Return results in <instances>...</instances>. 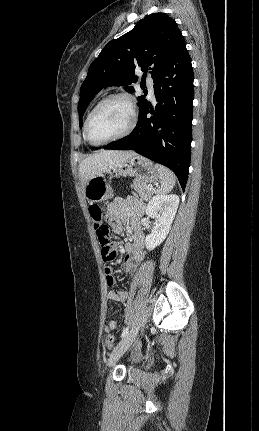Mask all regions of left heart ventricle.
<instances>
[{
  "label": "left heart ventricle",
  "mask_w": 259,
  "mask_h": 431,
  "mask_svg": "<svg viewBox=\"0 0 259 431\" xmlns=\"http://www.w3.org/2000/svg\"><path fill=\"white\" fill-rule=\"evenodd\" d=\"M131 119L125 101L111 100L102 105L94 114L90 124V135L95 141H104L123 132Z\"/></svg>",
  "instance_id": "b2bd125f"
}]
</instances>
